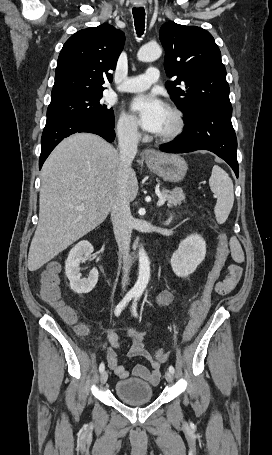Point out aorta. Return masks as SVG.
I'll return each instance as SVG.
<instances>
[{
    "instance_id": "1",
    "label": "aorta",
    "mask_w": 272,
    "mask_h": 455,
    "mask_svg": "<svg viewBox=\"0 0 272 455\" xmlns=\"http://www.w3.org/2000/svg\"><path fill=\"white\" fill-rule=\"evenodd\" d=\"M162 54V49L157 43H148L142 46L137 58L143 62H150L158 59ZM139 275L133 287V291L142 294L150 279V261L142 247L139 248Z\"/></svg>"
}]
</instances>
